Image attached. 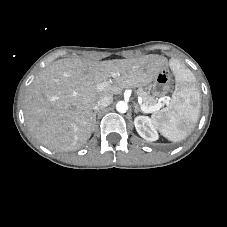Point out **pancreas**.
<instances>
[{"mask_svg": "<svg viewBox=\"0 0 227 227\" xmlns=\"http://www.w3.org/2000/svg\"><path fill=\"white\" fill-rule=\"evenodd\" d=\"M137 94L142 99L143 105L147 107H152L156 105V98L153 95H150L148 91H145L141 88L138 89Z\"/></svg>", "mask_w": 227, "mask_h": 227, "instance_id": "obj_1", "label": "pancreas"}]
</instances>
